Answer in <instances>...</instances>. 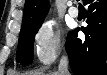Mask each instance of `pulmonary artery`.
<instances>
[{
	"instance_id": "e3ab8cb5",
	"label": "pulmonary artery",
	"mask_w": 107,
	"mask_h": 75,
	"mask_svg": "<svg viewBox=\"0 0 107 75\" xmlns=\"http://www.w3.org/2000/svg\"><path fill=\"white\" fill-rule=\"evenodd\" d=\"M69 14H70L72 17H77L78 14H79V11H78V9H77L75 6H70V7H69Z\"/></svg>"
}]
</instances>
